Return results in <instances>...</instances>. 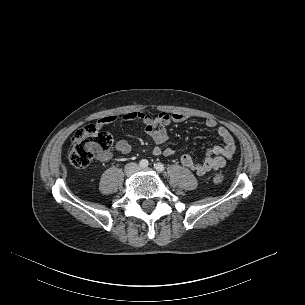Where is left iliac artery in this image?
<instances>
[{
	"mask_svg": "<svg viewBox=\"0 0 305 305\" xmlns=\"http://www.w3.org/2000/svg\"><path fill=\"white\" fill-rule=\"evenodd\" d=\"M154 168L156 169V170H158V171H164V169H165V167H164V165L162 164V163H156V164H154Z\"/></svg>",
	"mask_w": 305,
	"mask_h": 305,
	"instance_id": "left-iliac-artery-1",
	"label": "left iliac artery"
}]
</instances>
